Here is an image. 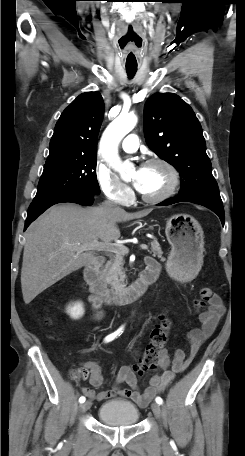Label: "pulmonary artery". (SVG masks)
Segmentation results:
<instances>
[{
  "mask_svg": "<svg viewBox=\"0 0 245 456\" xmlns=\"http://www.w3.org/2000/svg\"><path fill=\"white\" fill-rule=\"evenodd\" d=\"M122 149L127 153H133L138 149L139 141L135 134H129L122 142Z\"/></svg>",
  "mask_w": 245,
  "mask_h": 456,
  "instance_id": "1",
  "label": "pulmonary artery"
}]
</instances>
